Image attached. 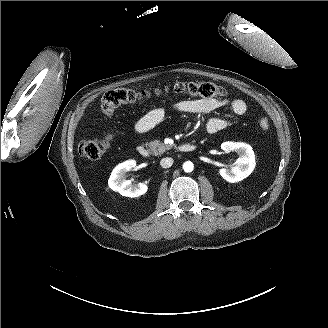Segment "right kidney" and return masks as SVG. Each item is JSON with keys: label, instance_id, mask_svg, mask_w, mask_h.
Listing matches in <instances>:
<instances>
[{"label": "right kidney", "instance_id": "ca27d5eb", "mask_svg": "<svg viewBox=\"0 0 328 328\" xmlns=\"http://www.w3.org/2000/svg\"><path fill=\"white\" fill-rule=\"evenodd\" d=\"M136 168L135 160H127L118 164L112 171L108 180L109 187L119 192L123 196L138 197L146 193L148 187L144 183L132 185L130 180H125L124 176L126 172L134 170Z\"/></svg>", "mask_w": 328, "mask_h": 328}]
</instances>
